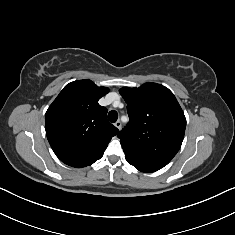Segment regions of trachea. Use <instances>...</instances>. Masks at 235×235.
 <instances>
[{"label": "trachea", "instance_id": "obj_1", "mask_svg": "<svg viewBox=\"0 0 235 235\" xmlns=\"http://www.w3.org/2000/svg\"><path fill=\"white\" fill-rule=\"evenodd\" d=\"M108 119L110 122L114 123L118 119V114L116 111L112 110L108 113Z\"/></svg>", "mask_w": 235, "mask_h": 235}]
</instances>
